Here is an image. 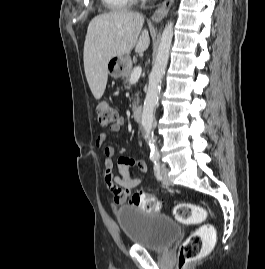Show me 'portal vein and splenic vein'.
Segmentation results:
<instances>
[{"label": "portal vein and splenic vein", "instance_id": "portal-vein-and-splenic-vein-1", "mask_svg": "<svg viewBox=\"0 0 265 269\" xmlns=\"http://www.w3.org/2000/svg\"><path fill=\"white\" fill-rule=\"evenodd\" d=\"M141 73H142V68L140 66L134 68V70L131 74L130 82L134 83V82L138 81V79L141 76Z\"/></svg>", "mask_w": 265, "mask_h": 269}]
</instances>
